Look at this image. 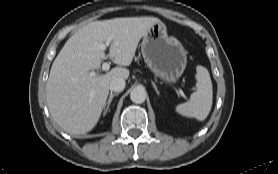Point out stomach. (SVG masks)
Segmentation results:
<instances>
[{"mask_svg": "<svg viewBox=\"0 0 278 174\" xmlns=\"http://www.w3.org/2000/svg\"><path fill=\"white\" fill-rule=\"evenodd\" d=\"M141 52L150 70L167 83H175L186 68L187 53L177 38L168 35L163 22L145 33Z\"/></svg>", "mask_w": 278, "mask_h": 174, "instance_id": "stomach-1", "label": "stomach"}]
</instances>
